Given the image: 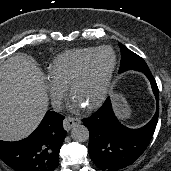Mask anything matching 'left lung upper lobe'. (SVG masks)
Masks as SVG:
<instances>
[{"instance_id": "obj_1", "label": "left lung upper lobe", "mask_w": 171, "mask_h": 171, "mask_svg": "<svg viewBox=\"0 0 171 171\" xmlns=\"http://www.w3.org/2000/svg\"><path fill=\"white\" fill-rule=\"evenodd\" d=\"M121 49V63L119 72H124L126 70H136L141 71L145 75L151 73L145 61L129 50L127 47L119 43Z\"/></svg>"}]
</instances>
